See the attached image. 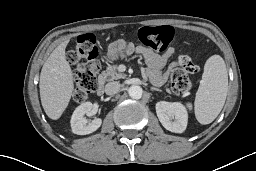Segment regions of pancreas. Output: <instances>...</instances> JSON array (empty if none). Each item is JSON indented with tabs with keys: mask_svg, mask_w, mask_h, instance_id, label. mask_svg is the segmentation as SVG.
<instances>
[{
	"mask_svg": "<svg viewBox=\"0 0 256 171\" xmlns=\"http://www.w3.org/2000/svg\"><path fill=\"white\" fill-rule=\"evenodd\" d=\"M126 75L124 73H121L118 71V66L116 64L108 66V68L101 73L99 76V79L104 81H112V80H118L121 78H125ZM168 93H171L169 89H166Z\"/></svg>",
	"mask_w": 256,
	"mask_h": 171,
	"instance_id": "cf45deb5",
	"label": "pancreas"
}]
</instances>
